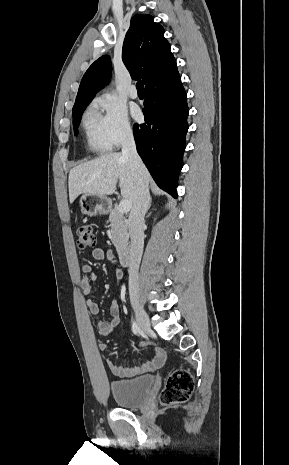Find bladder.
I'll list each match as a JSON object with an SVG mask.
<instances>
[{
	"mask_svg": "<svg viewBox=\"0 0 289 465\" xmlns=\"http://www.w3.org/2000/svg\"><path fill=\"white\" fill-rule=\"evenodd\" d=\"M154 384L152 375L110 382L114 401L123 408H136L145 404Z\"/></svg>",
	"mask_w": 289,
	"mask_h": 465,
	"instance_id": "31cf9c89",
	"label": "bladder"
}]
</instances>
